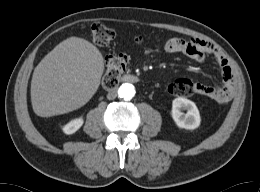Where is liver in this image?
<instances>
[{
	"instance_id": "liver-1",
	"label": "liver",
	"mask_w": 260,
	"mask_h": 192,
	"mask_svg": "<svg viewBox=\"0 0 260 192\" xmlns=\"http://www.w3.org/2000/svg\"><path fill=\"white\" fill-rule=\"evenodd\" d=\"M103 72L104 58L96 46L83 38H67L34 69L33 111L50 117L84 106L98 90Z\"/></svg>"
}]
</instances>
